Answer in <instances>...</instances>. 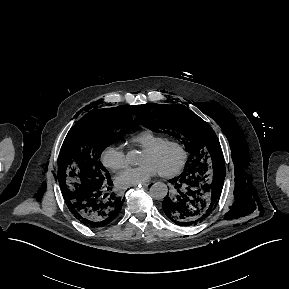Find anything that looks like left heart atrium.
<instances>
[{"label":"left heart atrium","mask_w":289,"mask_h":289,"mask_svg":"<svg viewBox=\"0 0 289 289\" xmlns=\"http://www.w3.org/2000/svg\"><path fill=\"white\" fill-rule=\"evenodd\" d=\"M159 170L152 164H143L138 167H130L119 173L115 182L119 188H129L147 183Z\"/></svg>","instance_id":"obj_1"}]
</instances>
